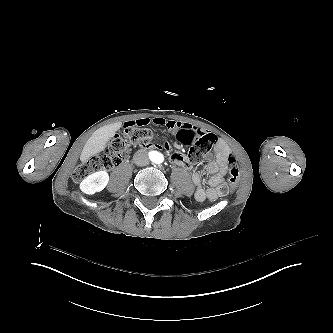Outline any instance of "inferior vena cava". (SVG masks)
Instances as JSON below:
<instances>
[{
    "label": "inferior vena cava",
    "mask_w": 333,
    "mask_h": 333,
    "mask_svg": "<svg viewBox=\"0 0 333 333\" xmlns=\"http://www.w3.org/2000/svg\"><path fill=\"white\" fill-rule=\"evenodd\" d=\"M133 161L137 166H146L149 164V156L146 150H138L133 156Z\"/></svg>",
    "instance_id": "1"
}]
</instances>
